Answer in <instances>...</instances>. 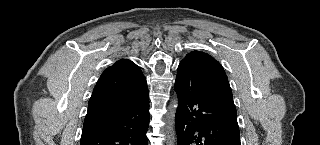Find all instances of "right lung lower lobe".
I'll return each mask as SVG.
<instances>
[{"label": "right lung lower lobe", "instance_id": "obj_1", "mask_svg": "<svg viewBox=\"0 0 320 145\" xmlns=\"http://www.w3.org/2000/svg\"><path fill=\"white\" fill-rule=\"evenodd\" d=\"M119 109L85 119L80 145H147L149 96L146 81Z\"/></svg>", "mask_w": 320, "mask_h": 145}]
</instances>
